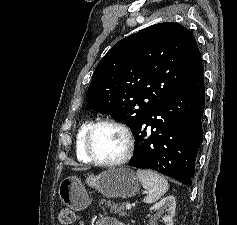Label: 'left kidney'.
<instances>
[{"mask_svg": "<svg viewBox=\"0 0 237 225\" xmlns=\"http://www.w3.org/2000/svg\"><path fill=\"white\" fill-rule=\"evenodd\" d=\"M176 199L174 196H167L156 203L151 210H158L160 216L166 210L167 214L162 218L165 225H173V217L175 215Z\"/></svg>", "mask_w": 237, "mask_h": 225, "instance_id": "left-kidney-1", "label": "left kidney"}]
</instances>
